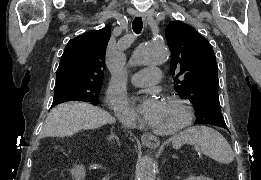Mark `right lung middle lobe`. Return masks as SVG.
Returning <instances> with one entry per match:
<instances>
[{"label":"right lung middle lobe","mask_w":261,"mask_h":180,"mask_svg":"<svg viewBox=\"0 0 261 180\" xmlns=\"http://www.w3.org/2000/svg\"><path fill=\"white\" fill-rule=\"evenodd\" d=\"M102 83L68 82L55 85L53 105L68 101H84L97 105Z\"/></svg>","instance_id":"1"}]
</instances>
